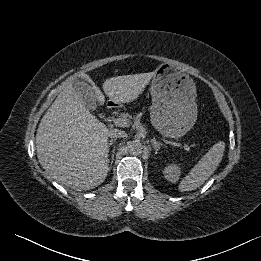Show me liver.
I'll list each match as a JSON object with an SVG mask.
<instances>
[{"instance_id":"1","label":"liver","mask_w":261,"mask_h":261,"mask_svg":"<svg viewBox=\"0 0 261 261\" xmlns=\"http://www.w3.org/2000/svg\"><path fill=\"white\" fill-rule=\"evenodd\" d=\"M155 72L123 75L107 79L103 91L115 103H129L142 93ZM91 85L100 105L105 97L91 78L80 73ZM71 77L42 117L36 134L39 163L48 178L77 191L93 189L108 173L107 141L110 130L92 115L75 91Z\"/></svg>"}]
</instances>
